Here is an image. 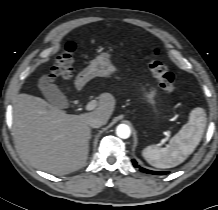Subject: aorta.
<instances>
[{"label": "aorta", "instance_id": "aorta-1", "mask_svg": "<svg viewBox=\"0 0 218 210\" xmlns=\"http://www.w3.org/2000/svg\"><path fill=\"white\" fill-rule=\"evenodd\" d=\"M116 134L122 139H127L130 137L131 134L130 127L126 124H120L116 128Z\"/></svg>", "mask_w": 218, "mask_h": 210}]
</instances>
